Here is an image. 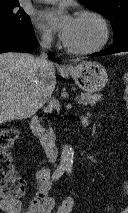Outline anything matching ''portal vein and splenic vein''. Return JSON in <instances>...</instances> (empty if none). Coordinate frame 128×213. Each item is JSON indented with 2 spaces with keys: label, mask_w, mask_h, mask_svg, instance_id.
<instances>
[{
  "label": "portal vein and splenic vein",
  "mask_w": 128,
  "mask_h": 213,
  "mask_svg": "<svg viewBox=\"0 0 128 213\" xmlns=\"http://www.w3.org/2000/svg\"><path fill=\"white\" fill-rule=\"evenodd\" d=\"M79 104H81V100H79Z\"/></svg>",
  "instance_id": "18ae733b"
}]
</instances>
